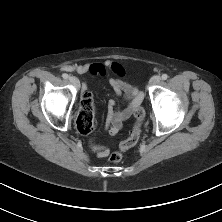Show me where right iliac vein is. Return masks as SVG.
I'll return each mask as SVG.
<instances>
[{"label": "right iliac vein", "instance_id": "right-iliac-vein-1", "mask_svg": "<svg viewBox=\"0 0 222 222\" xmlns=\"http://www.w3.org/2000/svg\"><path fill=\"white\" fill-rule=\"evenodd\" d=\"M69 81L76 87H79V80L77 77L71 76L69 78Z\"/></svg>", "mask_w": 222, "mask_h": 222}]
</instances>
